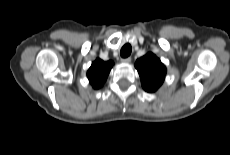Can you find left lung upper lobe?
Segmentation results:
<instances>
[{
    "mask_svg": "<svg viewBox=\"0 0 230 155\" xmlns=\"http://www.w3.org/2000/svg\"><path fill=\"white\" fill-rule=\"evenodd\" d=\"M135 67L145 91L155 92L163 84L167 72L166 67L152 52H148L139 58L135 63Z\"/></svg>",
    "mask_w": 230,
    "mask_h": 155,
    "instance_id": "1",
    "label": "left lung upper lobe"
}]
</instances>
